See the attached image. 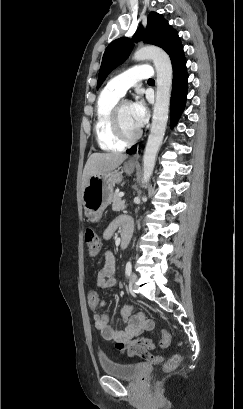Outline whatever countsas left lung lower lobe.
<instances>
[{
    "instance_id": "left-lung-lower-lobe-1",
    "label": "left lung lower lobe",
    "mask_w": 243,
    "mask_h": 409,
    "mask_svg": "<svg viewBox=\"0 0 243 409\" xmlns=\"http://www.w3.org/2000/svg\"><path fill=\"white\" fill-rule=\"evenodd\" d=\"M173 66V84L171 96V125L174 126L183 112L186 95H187V79L186 60L184 57L183 47L171 57ZM136 147L127 150V153L133 154Z\"/></svg>"
}]
</instances>
